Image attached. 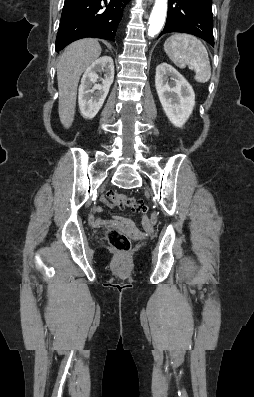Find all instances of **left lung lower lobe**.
<instances>
[{
  "label": "left lung lower lobe",
  "mask_w": 254,
  "mask_h": 397,
  "mask_svg": "<svg viewBox=\"0 0 254 397\" xmlns=\"http://www.w3.org/2000/svg\"><path fill=\"white\" fill-rule=\"evenodd\" d=\"M168 32L193 34L214 46L212 0H170L160 36Z\"/></svg>",
  "instance_id": "0a47b994"
}]
</instances>
